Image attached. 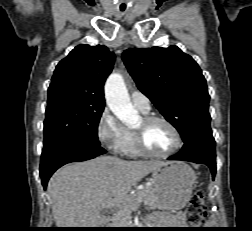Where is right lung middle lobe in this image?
<instances>
[{"mask_svg": "<svg viewBox=\"0 0 252 231\" xmlns=\"http://www.w3.org/2000/svg\"><path fill=\"white\" fill-rule=\"evenodd\" d=\"M103 110L102 104H88L68 97L48 99L43 149L61 142L100 145L97 128Z\"/></svg>", "mask_w": 252, "mask_h": 231, "instance_id": "obj_1", "label": "right lung middle lobe"}]
</instances>
